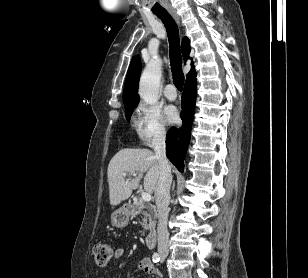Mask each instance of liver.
<instances>
[{
	"instance_id": "1",
	"label": "liver",
	"mask_w": 308,
	"mask_h": 278,
	"mask_svg": "<svg viewBox=\"0 0 308 278\" xmlns=\"http://www.w3.org/2000/svg\"><path fill=\"white\" fill-rule=\"evenodd\" d=\"M145 172L144 189L152 193L160 176L159 163L153 151L134 148L118 151L108 165L110 204L115 206L128 199L132 191L139 187ZM124 173L129 175L127 179ZM134 173L137 174L135 177Z\"/></svg>"
}]
</instances>
